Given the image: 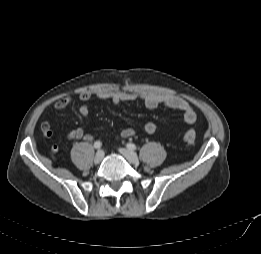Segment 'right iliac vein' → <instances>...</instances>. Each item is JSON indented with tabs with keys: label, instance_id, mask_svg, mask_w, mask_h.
<instances>
[{
	"label": "right iliac vein",
	"instance_id": "1",
	"mask_svg": "<svg viewBox=\"0 0 261 254\" xmlns=\"http://www.w3.org/2000/svg\"><path fill=\"white\" fill-rule=\"evenodd\" d=\"M104 157V152L102 150L97 151L94 156V163L99 164Z\"/></svg>",
	"mask_w": 261,
	"mask_h": 254
}]
</instances>
